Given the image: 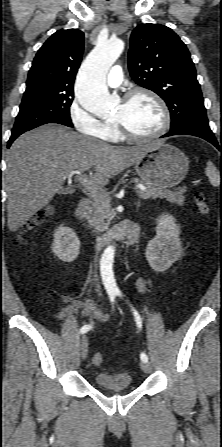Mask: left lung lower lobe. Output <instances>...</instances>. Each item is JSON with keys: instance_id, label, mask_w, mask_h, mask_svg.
Here are the masks:
<instances>
[{"instance_id": "obj_1", "label": "left lung lower lobe", "mask_w": 222, "mask_h": 447, "mask_svg": "<svg viewBox=\"0 0 222 447\" xmlns=\"http://www.w3.org/2000/svg\"><path fill=\"white\" fill-rule=\"evenodd\" d=\"M179 134H187V135H193V136L203 138V139L207 140L208 142L212 143L217 149L221 150V147L219 146L213 133H205V132L198 130L196 128H193V127H179L176 129H170V132L165 134L162 137L179 135Z\"/></svg>"}]
</instances>
